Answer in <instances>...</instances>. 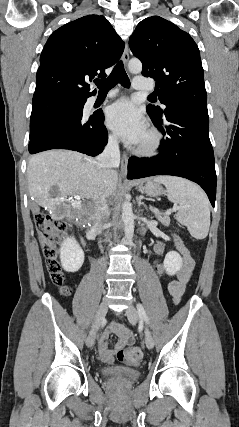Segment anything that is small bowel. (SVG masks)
Wrapping results in <instances>:
<instances>
[{"mask_svg": "<svg viewBox=\"0 0 239 427\" xmlns=\"http://www.w3.org/2000/svg\"><path fill=\"white\" fill-rule=\"evenodd\" d=\"M174 244L176 250L182 256L183 265L181 270L178 272L176 278L171 280L167 285V291L171 295L173 302L177 304L185 290V286L189 281L193 270H194V260L189 255L188 250L180 241L179 238H174ZM157 252V251H156ZM111 335H116L118 337V342L114 345L113 348H108L107 339ZM133 343V334L126 328L124 325L118 322H112L106 330L103 332L100 340L98 342V353L100 359L107 363L111 364L114 361V356L117 352L123 349L125 346Z\"/></svg>", "mask_w": 239, "mask_h": 427, "instance_id": "obj_1", "label": "small bowel"}]
</instances>
